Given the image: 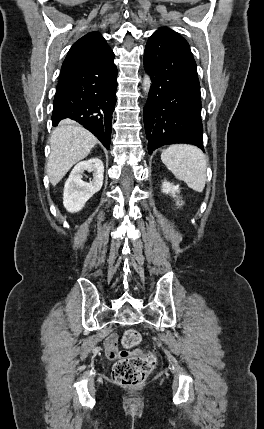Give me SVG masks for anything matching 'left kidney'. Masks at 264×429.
Returning <instances> with one entry per match:
<instances>
[{"label": "left kidney", "mask_w": 264, "mask_h": 429, "mask_svg": "<svg viewBox=\"0 0 264 429\" xmlns=\"http://www.w3.org/2000/svg\"><path fill=\"white\" fill-rule=\"evenodd\" d=\"M162 192L165 194H171L173 197H176V193H179L180 190L179 186H174L170 182L164 181L162 184Z\"/></svg>", "instance_id": "1"}]
</instances>
